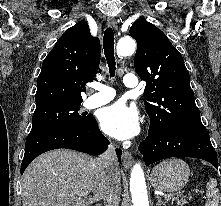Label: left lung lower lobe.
I'll list each match as a JSON object with an SVG mask.
<instances>
[{"mask_svg":"<svg viewBox=\"0 0 221 206\" xmlns=\"http://www.w3.org/2000/svg\"><path fill=\"white\" fill-rule=\"evenodd\" d=\"M146 165L169 157H194L218 168L215 149L203 128H181L149 134L139 145Z\"/></svg>","mask_w":221,"mask_h":206,"instance_id":"left-lung-lower-lobe-1","label":"left lung lower lobe"}]
</instances>
